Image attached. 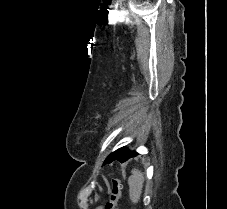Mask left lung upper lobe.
Here are the masks:
<instances>
[{
	"label": "left lung upper lobe",
	"instance_id": "5c2ea615",
	"mask_svg": "<svg viewBox=\"0 0 227 209\" xmlns=\"http://www.w3.org/2000/svg\"><path fill=\"white\" fill-rule=\"evenodd\" d=\"M128 151L129 149L126 147L119 148L107 157V159L105 160V164L111 163L114 160L120 161Z\"/></svg>",
	"mask_w": 227,
	"mask_h": 209
}]
</instances>
